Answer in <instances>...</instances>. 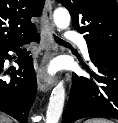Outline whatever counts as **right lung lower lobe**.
I'll return each mask as SVG.
<instances>
[{
    "label": "right lung lower lobe",
    "mask_w": 118,
    "mask_h": 123,
    "mask_svg": "<svg viewBox=\"0 0 118 123\" xmlns=\"http://www.w3.org/2000/svg\"><path fill=\"white\" fill-rule=\"evenodd\" d=\"M30 39L39 41L40 36L35 34ZM19 46L20 44H17L0 49V111L21 123H26L37 91V80L30 52L19 54V59L16 61L19 65L18 70L15 68L3 70L5 60L11 59L8 52L19 53ZM7 74L11 76L10 81L3 79Z\"/></svg>",
    "instance_id": "98d812e1"
}]
</instances>
